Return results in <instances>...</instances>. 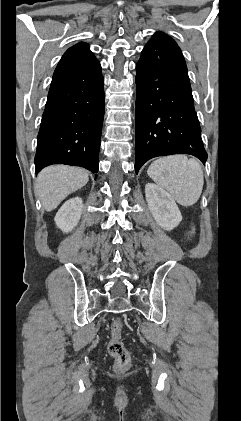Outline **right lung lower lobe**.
<instances>
[{
    "mask_svg": "<svg viewBox=\"0 0 241 421\" xmlns=\"http://www.w3.org/2000/svg\"><path fill=\"white\" fill-rule=\"evenodd\" d=\"M103 84L101 66L95 57L54 73L38 133L36 173L51 164L98 171Z\"/></svg>",
    "mask_w": 241,
    "mask_h": 421,
    "instance_id": "obj_1",
    "label": "right lung lower lobe"
}]
</instances>
